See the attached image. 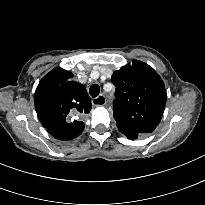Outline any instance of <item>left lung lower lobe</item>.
<instances>
[{
    "instance_id": "1",
    "label": "left lung lower lobe",
    "mask_w": 205,
    "mask_h": 205,
    "mask_svg": "<svg viewBox=\"0 0 205 205\" xmlns=\"http://www.w3.org/2000/svg\"><path fill=\"white\" fill-rule=\"evenodd\" d=\"M117 127L122 134H124L128 139H131V140L138 138V136L141 134V133L132 131L130 129H127L125 127H121L118 125H117Z\"/></svg>"
}]
</instances>
